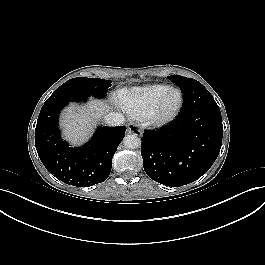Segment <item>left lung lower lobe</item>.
Returning a JSON list of instances; mask_svg holds the SVG:
<instances>
[{
	"label": "left lung lower lobe",
	"mask_w": 265,
	"mask_h": 265,
	"mask_svg": "<svg viewBox=\"0 0 265 265\" xmlns=\"http://www.w3.org/2000/svg\"><path fill=\"white\" fill-rule=\"evenodd\" d=\"M184 104L171 124L145 131L141 155L146 174L154 181L179 187L196 181L216 160L223 136L218 105L205 104L200 83L181 88Z\"/></svg>",
	"instance_id": "1"
}]
</instances>
